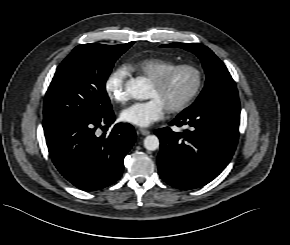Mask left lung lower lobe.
Instances as JSON below:
<instances>
[{
	"label": "left lung lower lobe",
	"instance_id": "left-lung-lower-lobe-1",
	"mask_svg": "<svg viewBox=\"0 0 290 245\" xmlns=\"http://www.w3.org/2000/svg\"><path fill=\"white\" fill-rule=\"evenodd\" d=\"M240 111L205 106L180 113L170 125H187L174 132L155 130L160 139L158 170L169 185L189 190L216 178L231 160L239 137Z\"/></svg>",
	"mask_w": 290,
	"mask_h": 245
}]
</instances>
